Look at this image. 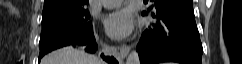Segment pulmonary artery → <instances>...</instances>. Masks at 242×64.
Segmentation results:
<instances>
[{
	"mask_svg": "<svg viewBox=\"0 0 242 64\" xmlns=\"http://www.w3.org/2000/svg\"><path fill=\"white\" fill-rule=\"evenodd\" d=\"M102 3L107 8H113L121 5L122 0H103Z\"/></svg>",
	"mask_w": 242,
	"mask_h": 64,
	"instance_id": "pulmonary-artery-1",
	"label": "pulmonary artery"
}]
</instances>
